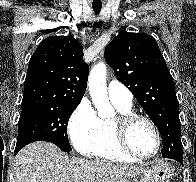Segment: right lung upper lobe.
<instances>
[{
  "label": "right lung upper lobe",
  "mask_w": 196,
  "mask_h": 182,
  "mask_svg": "<svg viewBox=\"0 0 196 182\" xmlns=\"http://www.w3.org/2000/svg\"><path fill=\"white\" fill-rule=\"evenodd\" d=\"M88 74L83 47L74 37H48L30 59L22 107L79 104L86 90Z\"/></svg>",
  "instance_id": "right-lung-upper-lobe-1"
}]
</instances>
